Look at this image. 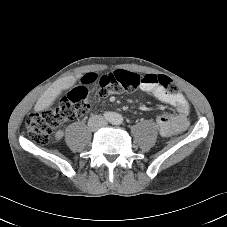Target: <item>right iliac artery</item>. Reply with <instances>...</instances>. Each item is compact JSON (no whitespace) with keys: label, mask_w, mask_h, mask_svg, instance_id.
I'll return each instance as SVG.
<instances>
[{"label":"right iliac artery","mask_w":227,"mask_h":227,"mask_svg":"<svg viewBox=\"0 0 227 227\" xmlns=\"http://www.w3.org/2000/svg\"><path fill=\"white\" fill-rule=\"evenodd\" d=\"M104 117H105L106 120L111 121V120L114 119L115 115L111 112H105Z\"/></svg>","instance_id":"82829eb1"}]
</instances>
